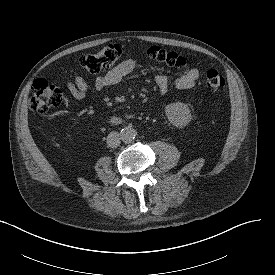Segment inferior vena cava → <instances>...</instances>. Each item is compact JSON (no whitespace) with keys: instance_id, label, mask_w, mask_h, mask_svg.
Masks as SVG:
<instances>
[{"instance_id":"602c4592","label":"inferior vena cava","mask_w":275,"mask_h":275,"mask_svg":"<svg viewBox=\"0 0 275 275\" xmlns=\"http://www.w3.org/2000/svg\"><path fill=\"white\" fill-rule=\"evenodd\" d=\"M120 134L118 132H111L108 136H107V145L108 147L111 148H116L120 145Z\"/></svg>"}]
</instances>
